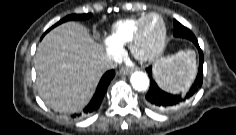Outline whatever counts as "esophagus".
<instances>
[{
  "instance_id": "34e87169",
  "label": "esophagus",
  "mask_w": 236,
  "mask_h": 135,
  "mask_svg": "<svg viewBox=\"0 0 236 135\" xmlns=\"http://www.w3.org/2000/svg\"><path fill=\"white\" fill-rule=\"evenodd\" d=\"M133 70H134V69H132V68H125V67H123V68L120 70V72H121V74H123V75H128V74H131V73L133 72Z\"/></svg>"
}]
</instances>
